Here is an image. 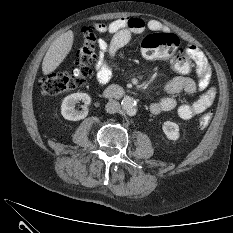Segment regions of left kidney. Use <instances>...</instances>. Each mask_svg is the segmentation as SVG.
Wrapping results in <instances>:
<instances>
[{
    "label": "left kidney",
    "mask_w": 233,
    "mask_h": 233,
    "mask_svg": "<svg viewBox=\"0 0 233 233\" xmlns=\"http://www.w3.org/2000/svg\"><path fill=\"white\" fill-rule=\"evenodd\" d=\"M162 130L169 140H178L180 137L179 126L175 122L165 121Z\"/></svg>",
    "instance_id": "left-kidney-1"
}]
</instances>
